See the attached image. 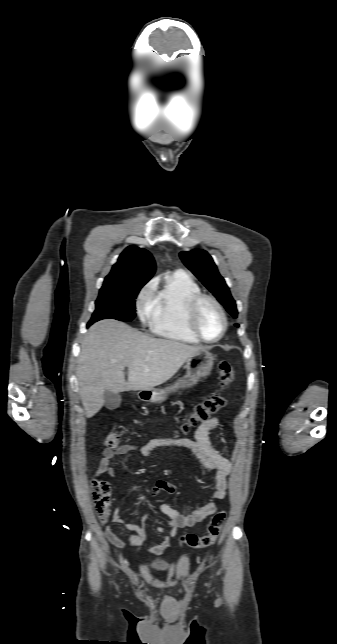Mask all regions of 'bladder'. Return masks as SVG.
<instances>
[{"label":"bladder","instance_id":"bladder-1","mask_svg":"<svg viewBox=\"0 0 337 644\" xmlns=\"http://www.w3.org/2000/svg\"><path fill=\"white\" fill-rule=\"evenodd\" d=\"M168 563L165 561H154L148 565V568L153 571H164L168 568Z\"/></svg>","mask_w":337,"mask_h":644}]
</instances>
